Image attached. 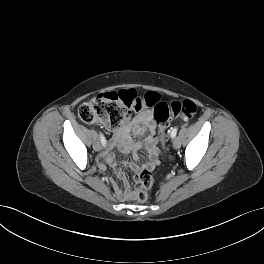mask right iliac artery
I'll return each instance as SVG.
<instances>
[{
    "label": "right iliac artery",
    "mask_w": 264,
    "mask_h": 264,
    "mask_svg": "<svg viewBox=\"0 0 264 264\" xmlns=\"http://www.w3.org/2000/svg\"><path fill=\"white\" fill-rule=\"evenodd\" d=\"M100 140H101V143L103 146H106V139L105 137L103 136V134H100Z\"/></svg>",
    "instance_id": "82829eb1"
}]
</instances>
